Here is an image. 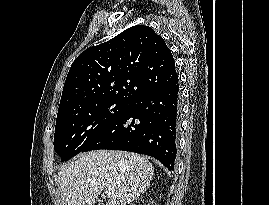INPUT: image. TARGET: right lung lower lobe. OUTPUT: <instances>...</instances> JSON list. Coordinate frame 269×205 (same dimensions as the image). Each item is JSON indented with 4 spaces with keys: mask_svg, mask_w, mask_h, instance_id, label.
<instances>
[{
    "mask_svg": "<svg viewBox=\"0 0 269 205\" xmlns=\"http://www.w3.org/2000/svg\"><path fill=\"white\" fill-rule=\"evenodd\" d=\"M179 84L147 92L128 103L82 152L112 149L145 154L174 170L180 124Z\"/></svg>",
    "mask_w": 269,
    "mask_h": 205,
    "instance_id": "98d812e1",
    "label": "right lung lower lobe"
}]
</instances>
